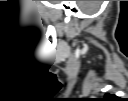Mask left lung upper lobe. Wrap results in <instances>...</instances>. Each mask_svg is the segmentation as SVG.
Segmentation results:
<instances>
[{"mask_svg":"<svg viewBox=\"0 0 128 101\" xmlns=\"http://www.w3.org/2000/svg\"><path fill=\"white\" fill-rule=\"evenodd\" d=\"M106 99H114V95H110V94H106L105 95ZM109 101H113V100H109Z\"/></svg>","mask_w":128,"mask_h":101,"instance_id":"obj_1","label":"left lung upper lobe"}]
</instances>
